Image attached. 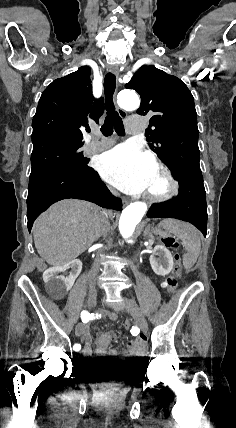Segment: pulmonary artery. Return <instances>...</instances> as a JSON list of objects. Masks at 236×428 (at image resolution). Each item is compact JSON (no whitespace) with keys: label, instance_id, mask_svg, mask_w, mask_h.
Here are the masks:
<instances>
[{"label":"pulmonary artery","instance_id":"pulmonary-artery-1","mask_svg":"<svg viewBox=\"0 0 236 428\" xmlns=\"http://www.w3.org/2000/svg\"><path fill=\"white\" fill-rule=\"evenodd\" d=\"M114 143L115 140L109 142L93 140L86 145L85 150L88 154H96L108 149Z\"/></svg>","mask_w":236,"mask_h":428}]
</instances>
